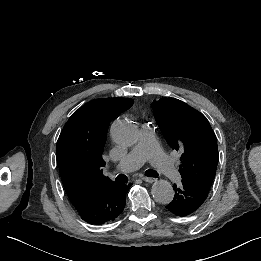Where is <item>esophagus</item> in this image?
Here are the masks:
<instances>
[{
	"instance_id": "obj_1",
	"label": "esophagus",
	"mask_w": 261,
	"mask_h": 261,
	"mask_svg": "<svg viewBox=\"0 0 261 261\" xmlns=\"http://www.w3.org/2000/svg\"><path fill=\"white\" fill-rule=\"evenodd\" d=\"M145 182H148V183H153L155 181H157L156 178H152V177H143L142 178Z\"/></svg>"
}]
</instances>
